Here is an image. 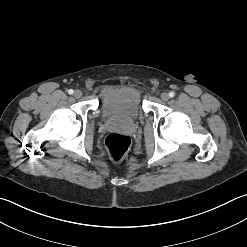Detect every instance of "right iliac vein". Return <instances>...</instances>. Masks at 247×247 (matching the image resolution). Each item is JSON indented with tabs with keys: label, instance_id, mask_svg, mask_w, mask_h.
Listing matches in <instances>:
<instances>
[{
	"label": "right iliac vein",
	"instance_id": "63e3f726",
	"mask_svg": "<svg viewBox=\"0 0 247 247\" xmlns=\"http://www.w3.org/2000/svg\"><path fill=\"white\" fill-rule=\"evenodd\" d=\"M82 96V91L81 90H76L75 92H74V97L75 98H80Z\"/></svg>",
	"mask_w": 247,
	"mask_h": 247
}]
</instances>
